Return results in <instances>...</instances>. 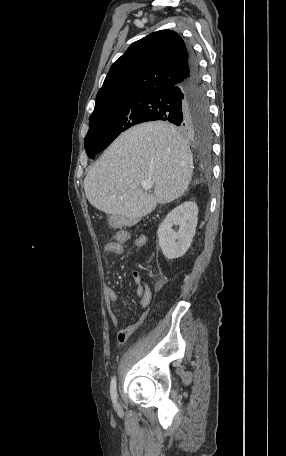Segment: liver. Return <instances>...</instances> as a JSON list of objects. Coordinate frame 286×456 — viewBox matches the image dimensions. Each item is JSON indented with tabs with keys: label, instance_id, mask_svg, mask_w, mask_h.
Listing matches in <instances>:
<instances>
[{
	"label": "liver",
	"instance_id": "1",
	"mask_svg": "<svg viewBox=\"0 0 286 456\" xmlns=\"http://www.w3.org/2000/svg\"><path fill=\"white\" fill-rule=\"evenodd\" d=\"M193 173L188 142L177 128L155 121L122 133L101 155L84 179L91 205L136 222L157 203H170L187 190ZM145 180L154 194L143 192Z\"/></svg>",
	"mask_w": 286,
	"mask_h": 456
}]
</instances>
